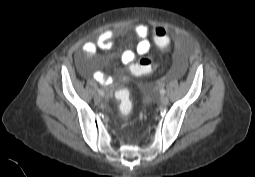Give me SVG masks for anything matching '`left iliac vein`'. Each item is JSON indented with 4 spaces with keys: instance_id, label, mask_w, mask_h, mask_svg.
Listing matches in <instances>:
<instances>
[{
    "instance_id": "left-iliac-vein-1",
    "label": "left iliac vein",
    "mask_w": 255,
    "mask_h": 177,
    "mask_svg": "<svg viewBox=\"0 0 255 177\" xmlns=\"http://www.w3.org/2000/svg\"><path fill=\"white\" fill-rule=\"evenodd\" d=\"M160 103H161V105H163V106H165V105H167L168 103H169V99H168V97L167 96H161V98H160Z\"/></svg>"
}]
</instances>
